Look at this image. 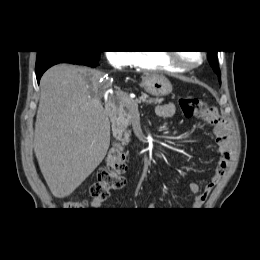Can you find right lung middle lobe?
Returning a JSON list of instances; mask_svg holds the SVG:
<instances>
[{"instance_id":"obj_1","label":"right lung middle lobe","mask_w":260,"mask_h":260,"mask_svg":"<svg viewBox=\"0 0 260 260\" xmlns=\"http://www.w3.org/2000/svg\"><path fill=\"white\" fill-rule=\"evenodd\" d=\"M63 55L87 57L95 60L100 59V51H38L36 59V68H39L46 62Z\"/></svg>"}]
</instances>
